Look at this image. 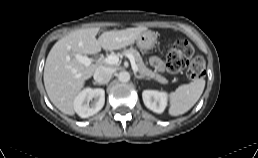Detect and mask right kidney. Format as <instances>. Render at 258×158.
I'll use <instances>...</instances> for the list:
<instances>
[{"label":"right kidney","mask_w":258,"mask_h":158,"mask_svg":"<svg viewBox=\"0 0 258 158\" xmlns=\"http://www.w3.org/2000/svg\"><path fill=\"white\" fill-rule=\"evenodd\" d=\"M92 100L93 102L89 104ZM104 103L105 91L103 89L86 88L75 97L73 106L81 118H88L98 113L103 108Z\"/></svg>","instance_id":"right-kidney-1"}]
</instances>
